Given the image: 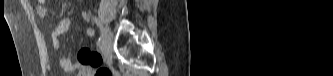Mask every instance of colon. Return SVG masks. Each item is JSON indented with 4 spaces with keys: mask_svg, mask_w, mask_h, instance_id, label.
Masks as SVG:
<instances>
[{
    "mask_svg": "<svg viewBox=\"0 0 333 76\" xmlns=\"http://www.w3.org/2000/svg\"><path fill=\"white\" fill-rule=\"evenodd\" d=\"M96 76H112L113 73L111 72V70L107 69V68H102L99 69L96 74Z\"/></svg>",
    "mask_w": 333,
    "mask_h": 76,
    "instance_id": "obj_1",
    "label": "colon"
}]
</instances>
